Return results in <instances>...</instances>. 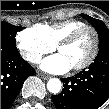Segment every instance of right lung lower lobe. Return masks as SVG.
<instances>
[{
    "instance_id": "98d812e1",
    "label": "right lung lower lobe",
    "mask_w": 109,
    "mask_h": 109,
    "mask_svg": "<svg viewBox=\"0 0 109 109\" xmlns=\"http://www.w3.org/2000/svg\"><path fill=\"white\" fill-rule=\"evenodd\" d=\"M34 74L35 70L16 48L1 45V109L10 107L25 79Z\"/></svg>"
}]
</instances>
